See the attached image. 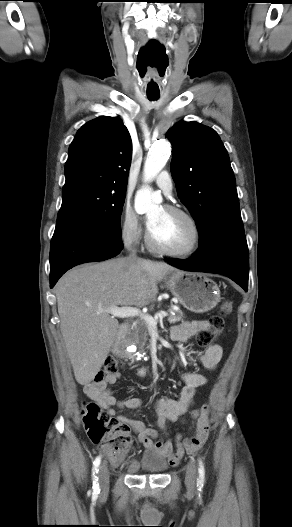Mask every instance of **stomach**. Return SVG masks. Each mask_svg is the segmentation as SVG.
Returning <instances> with one entry per match:
<instances>
[{
	"mask_svg": "<svg viewBox=\"0 0 292 527\" xmlns=\"http://www.w3.org/2000/svg\"><path fill=\"white\" fill-rule=\"evenodd\" d=\"M166 286L183 307L194 313L208 312L220 301L217 284L202 273L178 271L169 277Z\"/></svg>",
	"mask_w": 292,
	"mask_h": 527,
	"instance_id": "stomach-1",
	"label": "stomach"
}]
</instances>
